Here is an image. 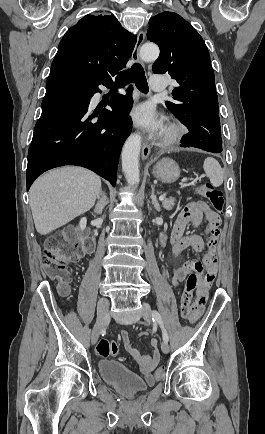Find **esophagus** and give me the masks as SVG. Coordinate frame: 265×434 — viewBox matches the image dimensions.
<instances>
[{"mask_svg": "<svg viewBox=\"0 0 265 434\" xmlns=\"http://www.w3.org/2000/svg\"><path fill=\"white\" fill-rule=\"evenodd\" d=\"M145 39V32H143L142 30L139 32L138 37H137V42L135 45V48L133 50L132 53V60L133 62H138L140 64L143 65L142 60L139 58V49L142 45V43L144 42ZM151 148L148 142H144L142 145V153H141V157L143 160L147 159L149 154H150Z\"/></svg>", "mask_w": 265, "mask_h": 434, "instance_id": "1", "label": "esophagus"}]
</instances>
